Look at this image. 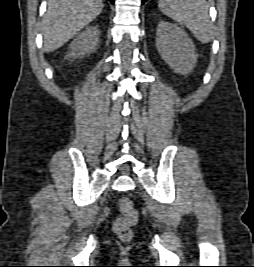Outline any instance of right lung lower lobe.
<instances>
[{
	"label": "right lung lower lobe",
	"instance_id": "right-lung-lower-lobe-1",
	"mask_svg": "<svg viewBox=\"0 0 254 267\" xmlns=\"http://www.w3.org/2000/svg\"><path fill=\"white\" fill-rule=\"evenodd\" d=\"M112 4H114V0H109Z\"/></svg>",
	"mask_w": 254,
	"mask_h": 267
}]
</instances>
